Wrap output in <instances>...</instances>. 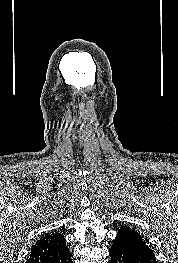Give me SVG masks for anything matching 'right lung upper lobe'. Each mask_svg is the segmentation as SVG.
<instances>
[{"instance_id": "right-lung-upper-lobe-1", "label": "right lung upper lobe", "mask_w": 178, "mask_h": 263, "mask_svg": "<svg viewBox=\"0 0 178 263\" xmlns=\"http://www.w3.org/2000/svg\"><path fill=\"white\" fill-rule=\"evenodd\" d=\"M66 242L59 233H47L32 246L26 263H49L67 251Z\"/></svg>"}]
</instances>
